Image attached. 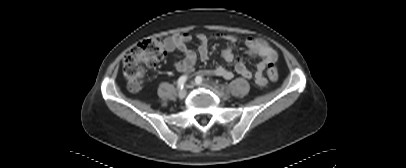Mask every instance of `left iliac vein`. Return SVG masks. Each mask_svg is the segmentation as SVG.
Returning a JSON list of instances; mask_svg holds the SVG:
<instances>
[{
	"label": "left iliac vein",
	"instance_id": "obj_1",
	"mask_svg": "<svg viewBox=\"0 0 406 168\" xmlns=\"http://www.w3.org/2000/svg\"><path fill=\"white\" fill-rule=\"evenodd\" d=\"M193 84H194V83H193ZM196 85H199V86H205V87H207V86H206V85H204V84H197V83H196Z\"/></svg>",
	"mask_w": 406,
	"mask_h": 168
}]
</instances>
